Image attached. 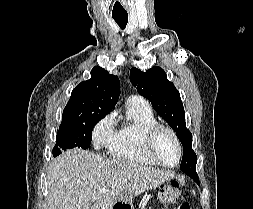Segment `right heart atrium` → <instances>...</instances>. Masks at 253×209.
<instances>
[{"label": "right heart atrium", "mask_w": 253, "mask_h": 209, "mask_svg": "<svg viewBox=\"0 0 253 209\" xmlns=\"http://www.w3.org/2000/svg\"><path fill=\"white\" fill-rule=\"evenodd\" d=\"M116 137L112 114L102 117L93 127L92 141L96 149H110Z\"/></svg>", "instance_id": "1"}]
</instances>
